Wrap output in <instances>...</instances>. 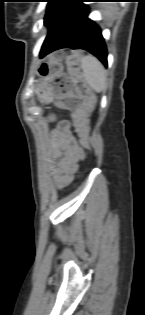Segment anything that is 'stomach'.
Here are the masks:
<instances>
[{
	"label": "stomach",
	"instance_id": "0dacf381",
	"mask_svg": "<svg viewBox=\"0 0 145 315\" xmlns=\"http://www.w3.org/2000/svg\"><path fill=\"white\" fill-rule=\"evenodd\" d=\"M35 97L40 98L42 101L49 103L52 100V97L50 93L48 92V87H42V84H35ZM44 114L46 116H49L51 114V111L49 109H46L44 111Z\"/></svg>",
	"mask_w": 145,
	"mask_h": 315
}]
</instances>
